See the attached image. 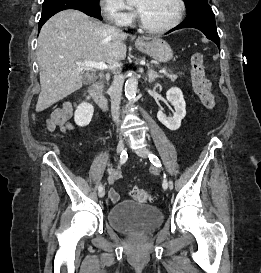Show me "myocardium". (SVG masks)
<instances>
[{
	"instance_id": "myocardium-1",
	"label": "myocardium",
	"mask_w": 261,
	"mask_h": 273,
	"mask_svg": "<svg viewBox=\"0 0 261 273\" xmlns=\"http://www.w3.org/2000/svg\"><path fill=\"white\" fill-rule=\"evenodd\" d=\"M176 2L178 4V14H177L176 18L170 24L162 26V27H152V26L148 25L144 21L142 16L140 15L139 11L136 10V15H137V19H138V23H139L140 27L150 33H165L167 31H170L171 29L175 28L183 20L185 10H186V5H185L184 0H176Z\"/></svg>"
}]
</instances>
